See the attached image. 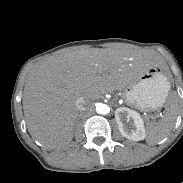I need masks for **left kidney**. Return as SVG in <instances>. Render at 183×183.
<instances>
[{
    "mask_svg": "<svg viewBox=\"0 0 183 183\" xmlns=\"http://www.w3.org/2000/svg\"><path fill=\"white\" fill-rule=\"evenodd\" d=\"M115 119L120 133L132 141L143 140L146 136L144 121L141 115L127 107L117 108Z\"/></svg>",
    "mask_w": 183,
    "mask_h": 183,
    "instance_id": "1",
    "label": "left kidney"
}]
</instances>
